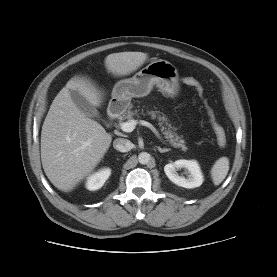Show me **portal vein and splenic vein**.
<instances>
[{"label": "portal vein and splenic vein", "mask_w": 277, "mask_h": 277, "mask_svg": "<svg viewBox=\"0 0 277 277\" xmlns=\"http://www.w3.org/2000/svg\"><path fill=\"white\" fill-rule=\"evenodd\" d=\"M138 123L141 124L142 126L148 127L158 138H160V134L156 130V128L151 123L144 121V120L137 121V120L132 119L127 122H123L121 124V129L124 132H132Z\"/></svg>", "instance_id": "18ae733b"}]
</instances>
